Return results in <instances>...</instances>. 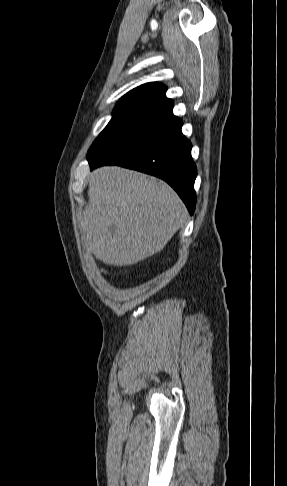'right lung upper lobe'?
Returning a JSON list of instances; mask_svg holds the SVG:
<instances>
[{
  "label": "right lung upper lobe",
  "instance_id": "1",
  "mask_svg": "<svg viewBox=\"0 0 287 486\" xmlns=\"http://www.w3.org/2000/svg\"><path fill=\"white\" fill-rule=\"evenodd\" d=\"M166 90L158 82L143 84L125 94L116 107H153L172 112L173 102L165 96Z\"/></svg>",
  "mask_w": 287,
  "mask_h": 486
}]
</instances>
